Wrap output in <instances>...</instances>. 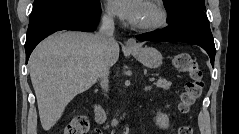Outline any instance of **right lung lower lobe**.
Masks as SVG:
<instances>
[{
    "label": "right lung lower lobe",
    "mask_w": 239,
    "mask_h": 134,
    "mask_svg": "<svg viewBox=\"0 0 239 134\" xmlns=\"http://www.w3.org/2000/svg\"><path fill=\"white\" fill-rule=\"evenodd\" d=\"M100 13V3L84 4L75 0L53 2L32 12L25 43L26 63L36 45L56 31H94Z\"/></svg>",
    "instance_id": "obj_1"
}]
</instances>
